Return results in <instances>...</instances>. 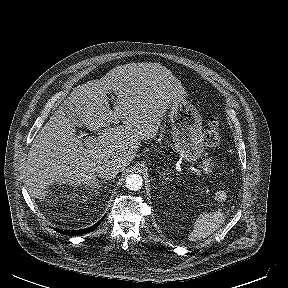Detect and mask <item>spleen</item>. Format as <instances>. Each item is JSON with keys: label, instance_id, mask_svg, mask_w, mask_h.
<instances>
[{"label": "spleen", "instance_id": "1", "mask_svg": "<svg viewBox=\"0 0 288 288\" xmlns=\"http://www.w3.org/2000/svg\"><path fill=\"white\" fill-rule=\"evenodd\" d=\"M225 216L221 212H211L200 214L193 226V230L188 235L189 241H198L210 236L224 222Z\"/></svg>", "mask_w": 288, "mask_h": 288}]
</instances>
